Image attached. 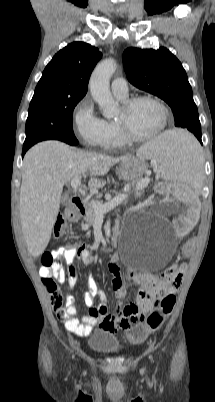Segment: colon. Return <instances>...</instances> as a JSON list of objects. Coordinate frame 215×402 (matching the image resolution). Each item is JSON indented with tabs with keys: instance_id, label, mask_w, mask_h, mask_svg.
<instances>
[{
	"instance_id": "obj_1",
	"label": "colon",
	"mask_w": 215,
	"mask_h": 402,
	"mask_svg": "<svg viewBox=\"0 0 215 402\" xmlns=\"http://www.w3.org/2000/svg\"><path fill=\"white\" fill-rule=\"evenodd\" d=\"M66 222L59 216L54 225V235L61 237L66 232ZM197 238L191 236L187 245H183L181 248V257L183 260H190L192 257V251L196 248ZM65 250H72L74 243L72 241H65L63 244ZM57 260L52 253H46L42 258L43 266L53 267ZM182 266H172L168 268L163 276L171 277L176 276L182 271ZM44 286L46 287L52 305L57 312L63 310V295L62 292L53 278L43 279ZM157 307L147 316L144 322L134 324L126 333V338L131 343H137L144 340L149 333L158 330L166 317L171 313L174 304L175 297L173 295H166L157 299Z\"/></svg>"
}]
</instances>
